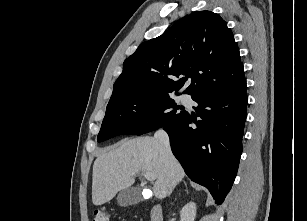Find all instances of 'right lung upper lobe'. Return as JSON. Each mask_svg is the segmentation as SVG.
Wrapping results in <instances>:
<instances>
[{"mask_svg": "<svg viewBox=\"0 0 307 221\" xmlns=\"http://www.w3.org/2000/svg\"><path fill=\"white\" fill-rule=\"evenodd\" d=\"M180 76L185 78L176 80ZM187 78L191 84L184 93L192 99L245 82L232 31L211 11L193 12L161 36L142 43L124 61L109 104L136 94H171Z\"/></svg>", "mask_w": 307, "mask_h": 221, "instance_id": "1", "label": "right lung upper lobe"}]
</instances>
